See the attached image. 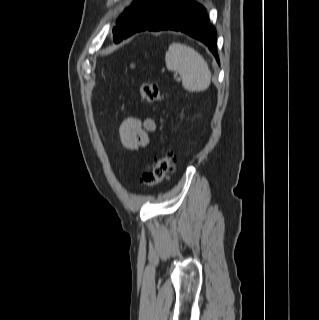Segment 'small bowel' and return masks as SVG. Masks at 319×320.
I'll use <instances>...</instances> for the list:
<instances>
[{
  "mask_svg": "<svg viewBox=\"0 0 319 320\" xmlns=\"http://www.w3.org/2000/svg\"><path fill=\"white\" fill-rule=\"evenodd\" d=\"M156 130L152 118L141 120L134 116L123 119L119 126V137L122 146L127 150H137L149 144V133Z\"/></svg>",
  "mask_w": 319,
  "mask_h": 320,
  "instance_id": "obj_1",
  "label": "small bowel"
}]
</instances>
